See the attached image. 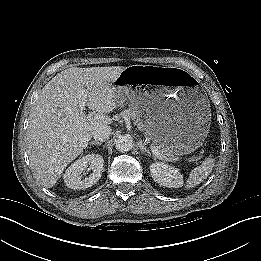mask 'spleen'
<instances>
[{
  "instance_id": "spleen-1",
  "label": "spleen",
  "mask_w": 261,
  "mask_h": 261,
  "mask_svg": "<svg viewBox=\"0 0 261 261\" xmlns=\"http://www.w3.org/2000/svg\"><path fill=\"white\" fill-rule=\"evenodd\" d=\"M214 163L215 159L207 158L200 166L194 168L189 174L185 188H194L195 186L199 185L204 179H206L208 175L212 172Z\"/></svg>"
}]
</instances>
